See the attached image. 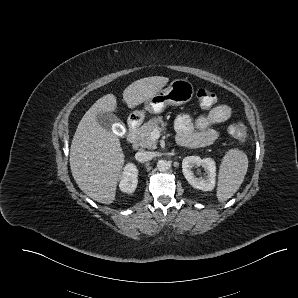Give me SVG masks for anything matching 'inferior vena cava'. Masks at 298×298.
<instances>
[{"label": "inferior vena cava", "instance_id": "obj_1", "mask_svg": "<svg viewBox=\"0 0 298 298\" xmlns=\"http://www.w3.org/2000/svg\"><path fill=\"white\" fill-rule=\"evenodd\" d=\"M154 157V153L151 151H139L135 154V159L142 163L151 160Z\"/></svg>", "mask_w": 298, "mask_h": 298}]
</instances>
